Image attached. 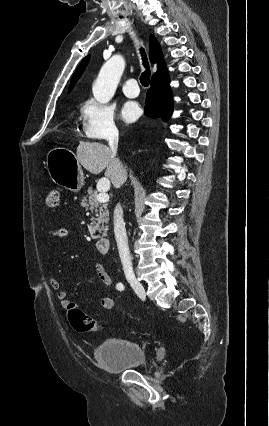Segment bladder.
I'll return each mask as SVG.
<instances>
[{"label": "bladder", "mask_w": 269, "mask_h": 426, "mask_svg": "<svg viewBox=\"0 0 269 426\" xmlns=\"http://www.w3.org/2000/svg\"><path fill=\"white\" fill-rule=\"evenodd\" d=\"M94 357L104 370L111 373L134 370L147 363L142 345L124 338L103 340L96 347Z\"/></svg>", "instance_id": "31cf9c89"}]
</instances>
